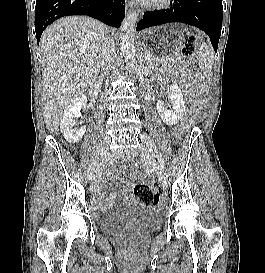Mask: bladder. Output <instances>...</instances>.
<instances>
[{
    "label": "bladder",
    "mask_w": 265,
    "mask_h": 273,
    "mask_svg": "<svg viewBox=\"0 0 265 273\" xmlns=\"http://www.w3.org/2000/svg\"><path fill=\"white\" fill-rule=\"evenodd\" d=\"M127 223H137L156 229L159 227V216L152 208L134 207L124 213H112L98 218L100 230L107 235L115 234Z\"/></svg>",
    "instance_id": "31cf9c89"
}]
</instances>
